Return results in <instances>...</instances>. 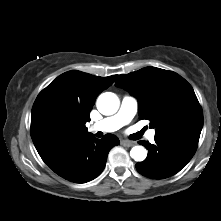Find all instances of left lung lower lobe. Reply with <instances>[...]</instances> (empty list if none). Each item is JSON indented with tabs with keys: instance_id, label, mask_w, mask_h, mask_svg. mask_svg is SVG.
<instances>
[{
	"instance_id": "left-lung-lower-lobe-1",
	"label": "left lung lower lobe",
	"mask_w": 221,
	"mask_h": 221,
	"mask_svg": "<svg viewBox=\"0 0 221 221\" xmlns=\"http://www.w3.org/2000/svg\"><path fill=\"white\" fill-rule=\"evenodd\" d=\"M200 133L175 132L155 136V144L139 141L148 149V156L136 164L137 171L149 178L164 179L178 173L194 155Z\"/></svg>"
}]
</instances>
